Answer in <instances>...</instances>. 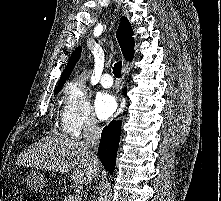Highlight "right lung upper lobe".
Listing matches in <instances>:
<instances>
[{"mask_svg":"<svg viewBox=\"0 0 221 201\" xmlns=\"http://www.w3.org/2000/svg\"><path fill=\"white\" fill-rule=\"evenodd\" d=\"M117 39L120 44L123 56L126 60H132L134 54V38L132 27L126 17L121 18V22L119 24L117 30ZM81 54V48L78 47L73 52L66 68L64 69L62 76L59 80L58 86L55 91H60L65 81L70 76L76 62L79 60Z\"/></svg>","mask_w":221,"mask_h":201,"instance_id":"cb5924a9","label":"right lung upper lobe"}]
</instances>
